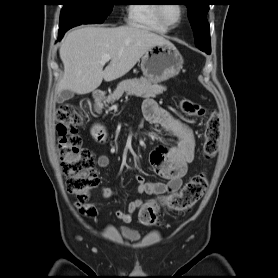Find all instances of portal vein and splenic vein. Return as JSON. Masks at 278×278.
Instances as JSON below:
<instances>
[{
	"label": "portal vein and splenic vein",
	"instance_id": "portal-vein-and-splenic-vein-1",
	"mask_svg": "<svg viewBox=\"0 0 278 278\" xmlns=\"http://www.w3.org/2000/svg\"><path fill=\"white\" fill-rule=\"evenodd\" d=\"M111 59V56L109 54H106L102 57L101 63H106Z\"/></svg>",
	"mask_w": 278,
	"mask_h": 278
}]
</instances>
